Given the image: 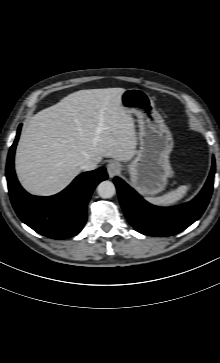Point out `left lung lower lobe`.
Wrapping results in <instances>:
<instances>
[{
	"mask_svg": "<svg viewBox=\"0 0 220 363\" xmlns=\"http://www.w3.org/2000/svg\"><path fill=\"white\" fill-rule=\"evenodd\" d=\"M215 159L206 184L189 203L175 208H158L148 204L118 177L114 178L120 203L129 223L138 232L157 237L175 235L200 218L213 190Z\"/></svg>",
	"mask_w": 220,
	"mask_h": 363,
	"instance_id": "obj_1",
	"label": "left lung lower lobe"
}]
</instances>
